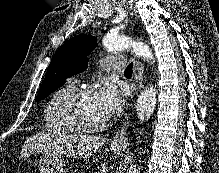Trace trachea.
Masks as SVG:
<instances>
[{
    "label": "trachea",
    "mask_w": 219,
    "mask_h": 173,
    "mask_svg": "<svg viewBox=\"0 0 219 173\" xmlns=\"http://www.w3.org/2000/svg\"><path fill=\"white\" fill-rule=\"evenodd\" d=\"M133 73V63H130L125 69L124 74L132 75Z\"/></svg>",
    "instance_id": "3493384b"
}]
</instances>
